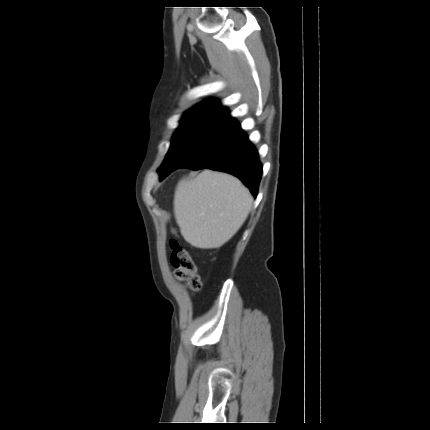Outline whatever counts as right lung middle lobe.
<instances>
[{"label":"right lung middle lobe","instance_id":"1","mask_svg":"<svg viewBox=\"0 0 430 430\" xmlns=\"http://www.w3.org/2000/svg\"><path fill=\"white\" fill-rule=\"evenodd\" d=\"M238 125L223 107L208 106L189 110L175 132L171 148L158 172L160 180L196 157Z\"/></svg>","mask_w":430,"mask_h":430}]
</instances>
